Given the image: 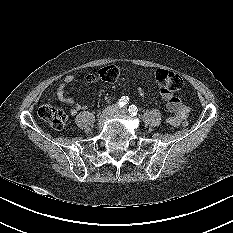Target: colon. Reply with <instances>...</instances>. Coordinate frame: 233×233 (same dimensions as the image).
<instances>
[{
    "mask_svg": "<svg viewBox=\"0 0 233 233\" xmlns=\"http://www.w3.org/2000/svg\"><path fill=\"white\" fill-rule=\"evenodd\" d=\"M121 70L116 65H107L100 68L95 74L86 76V79L91 82H115L120 76ZM155 85L163 91L172 93L179 91L183 87V79L180 75L165 70L158 69L154 73ZM39 117L48 123L52 128L60 130L64 127L67 121V115L65 111L57 106L44 104L38 110ZM187 125V121L183 123Z\"/></svg>",
    "mask_w": 233,
    "mask_h": 233,
    "instance_id": "obj_1",
    "label": "colon"
}]
</instances>
